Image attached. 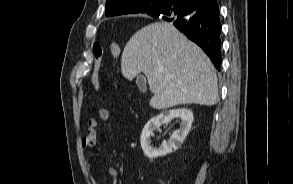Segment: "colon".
Segmentation results:
<instances>
[{
  "label": "colon",
  "instance_id": "obj_1",
  "mask_svg": "<svg viewBox=\"0 0 293 184\" xmlns=\"http://www.w3.org/2000/svg\"><path fill=\"white\" fill-rule=\"evenodd\" d=\"M104 47L100 42H95L92 46L93 54V73L91 77V83L94 91H98L100 87V71L102 66ZM109 52L115 58H118L121 54V49L118 44L111 42L109 44Z\"/></svg>",
  "mask_w": 293,
  "mask_h": 184
}]
</instances>
